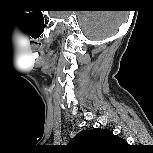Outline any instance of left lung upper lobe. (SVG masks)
<instances>
[{
	"instance_id": "left-lung-upper-lobe-1",
	"label": "left lung upper lobe",
	"mask_w": 153,
	"mask_h": 153,
	"mask_svg": "<svg viewBox=\"0 0 153 153\" xmlns=\"http://www.w3.org/2000/svg\"><path fill=\"white\" fill-rule=\"evenodd\" d=\"M126 144L122 138L114 135L109 129L83 130L69 142V145L75 148L92 153L123 148Z\"/></svg>"
}]
</instances>
